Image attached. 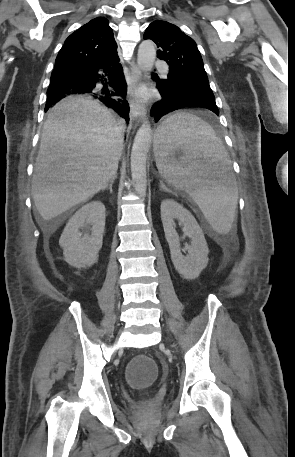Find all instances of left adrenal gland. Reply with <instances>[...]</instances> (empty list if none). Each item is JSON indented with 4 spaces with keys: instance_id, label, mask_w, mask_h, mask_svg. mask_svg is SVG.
Listing matches in <instances>:
<instances>
[{
    "instance_id": "left-adrenal-gland-1",
    "label": "left adrenal gland",
    "mask_w": 295,
    "mask_h": 457,
    "mask_svg": "<svg viewBox=\"0 0 295 457\" xmlns=\"http://www.w3.org/2000/svg\"><path fill=\"white\" fill-rule=\"evenodd\" d=\"M160 190L164 192H170L164 185L163 181H160Z\"/></svg>"
}]
</instances>
